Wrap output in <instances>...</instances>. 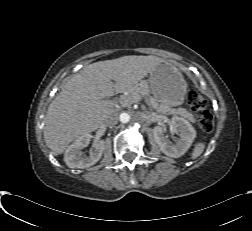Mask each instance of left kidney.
Here are the masks:
<instances>
[{
    "instance_id": "5707ae66",
    "label": "left kidney",
    "mask_w": 252,
    "mask_h": 231,
    "mask_svg": "<svg viewBox=\"0 0 252 231\" xmlns=\"http://www.w3.org/2000/svg\"><path fill=\"white\" fill-rule=\"evenodd\" d=\"M172 125L179 132L180 138L175 145H171L165 136V129L161 126H156L153 129L154 138L160 150L167 156L178 158L186 153L190 148L193 140L196 137L194 127L185 119L181 117H172Z\"/></svg>"
}]
</instances>
